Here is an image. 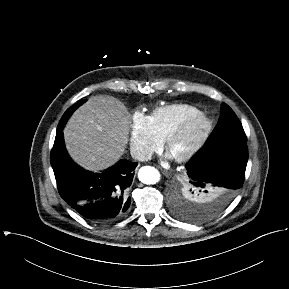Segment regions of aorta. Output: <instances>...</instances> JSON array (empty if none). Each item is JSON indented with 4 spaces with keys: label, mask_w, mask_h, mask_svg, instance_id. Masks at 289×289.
I'll use <instances>...</instances> for the list:
<instances>
[{
    "label": "aorta",
    "mask_w": 289,
    "mask_h": 289,
    "mask_svg": "<svg viewBox=\"0 0 289 289\" xmlns=\"http://www.w3.org/2000/svg\"><path fill=\"white\" fill-rule=\"evenodd\" d=\"M139 180L144 184H156L160 180V173L151 166H144L138 172Z\"/></svg>",
    "instance_id": "1"
}]
</instances>
